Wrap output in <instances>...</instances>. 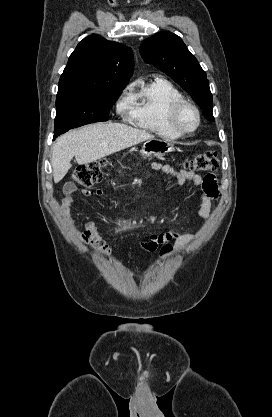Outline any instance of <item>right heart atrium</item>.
<instances>
[{
	"mask_svg": "<svg viewBox=\"0 0 272 417\" xmlns=\"http://www.w3.org/2000/svg\"><path fill=\"white\" fill-rule=\"evenodd\" d=\"M116 111L119 114L128 113L131 109V101L129 98L121 96L115 105Z\"/></svg>",
	"mask_w": 272,
	"mask_h": 417,
	"instance_id": "d8ad5b80",
	"label": "right heart atrium"
}]
</instances>
